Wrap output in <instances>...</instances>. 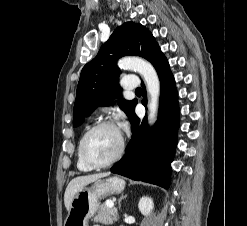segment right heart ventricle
Instances as JSON below:
<instances>
[{"mask_svg":"<svg viewBox=\"0 0 247 226\" xmlns=\"http://www.w3.org/2000/svg\"><path fill=\"white\" fill-rule=\"evenodd\" d=\"M77 167L79 170L81 171H90L91 168L88 167L81 159L80 157V153H79V146H78V149H77Z\"/></svg>","mask_w":247,"mask_h":226,"instance_id":"obj_1","label":"right heart ventricle"}]
</instances>
